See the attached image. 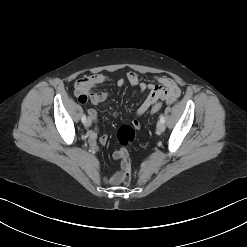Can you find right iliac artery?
<instances>
[{
  "label": "right iliac artery",
  "mask_w": 247,
  "mask_h": 247,
  "mask_svg": "<svg viewBox=\"0 0 247 247\" xmlns=\"http://www.w3.org/2000/svg\"><path fill=\"white\" fill-rule=\"evenodd\" d=\"M81 120L83 123L86 121V115L85 114L82 116Z\"/></svg>",
  "instance_id": "right-iliac-artery-1"
}]
</instances>
